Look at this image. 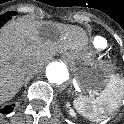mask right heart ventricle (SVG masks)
<instances>
[{
  "instance_id": "obj_1",
  "label": "right heart ventricle",
  "mask_w": 124,
  "mask_h": 124,
  "mask_svg": "<svg viewBox=\"0 0 124 124\" xmlns=\"http://www.w3.org/2000/svg\"><path fill=\"white\" fill-rule=\"evenodd\" d=\"M107 46V41L103 37L96 36L91 41V49L94 53L103 51Z\"/></svg>"
}]
</instances>
